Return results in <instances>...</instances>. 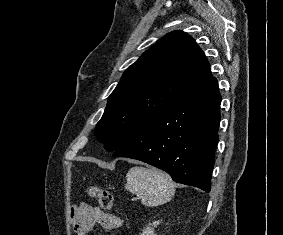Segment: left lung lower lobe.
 <instances>
[{"instance_id": "left-lung-lower-lobe-1", "label": "left lung lower lobe", "mask_w": 283, "mask_h": 235, "mask_svg": "<svg viewBox=\"0 0 283 235\" xmlns=\"http://www.w3.org/2000/svg\"><path fill=\"white\" fill-rule=\"evenodd\" d=\"M221 96L216 78L182 98L118 148L113 156L137 159L175 182L211 190Z\"/></svg>"}]
</instances>
